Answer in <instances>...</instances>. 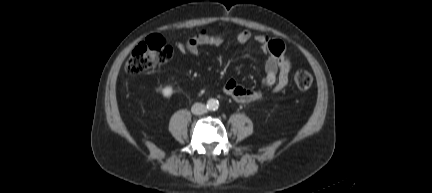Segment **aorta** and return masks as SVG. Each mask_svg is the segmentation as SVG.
I'll list each match as a JSON object with an SVG mask.
<instances>
[{
	"instance_id": "762f6f07",
	"label": "aorta",
	"mask_w": 432,
	"mask_h": 193,
	"mask_svg": "<svg viewBox=\"0 0 432 193\" xmlns=\"http://www.w3.org/2000/svg\"><path fill=\"white\" fill-rule=\"evenodd\" d=\"M207 107L209 110H217L219 107V102L216 99H209L207 102Z\"/></svg>"
}]
</instances>
